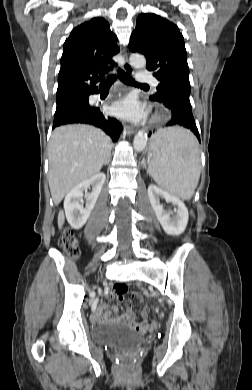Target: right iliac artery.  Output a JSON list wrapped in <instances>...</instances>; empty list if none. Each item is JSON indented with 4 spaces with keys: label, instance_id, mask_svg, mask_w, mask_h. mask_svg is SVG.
Instances as JSON below:
<instances>
[{
    "label": "right iliac artery",
    "instance_id": "1",
    "mask_svg": "<svg viewBox=\"0 0 252 390\" xmlns=\"http://www.w3.org/2000/svg\"><path fill=\"white\" fill-rule=\"evenodd\" d=\"M100 304V299L99 298H94L93 299V304H92V312L96 313L97 312V305Z\"/></svg>",
    "mask_w": 252,
    "mask_h": 390
}]
</instances>
